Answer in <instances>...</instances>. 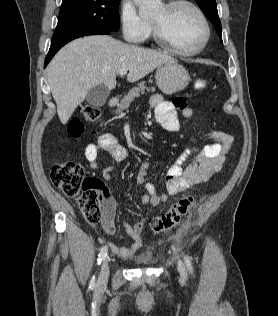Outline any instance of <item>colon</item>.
<instances>
[{
    "label": "colon",
    "mask_w": 278,
    "mask_h": 316,
    "mask_svg": "<svg viewBox=\"0 0 278 316\" xmlns=\"http://www.w3.org/2000/svg\"><path fill=\"white\" fill-rule=\"evenodd\" d=\"M206 84V80L198 79L194 83V88L203 90ZM80 113L88 122H95L100 118V111L97 108L81 107ZM67 129L71 136H80L84 130L82 120L78 117L72 118ZM49 177L52 184L65 196L78 201L80 210L89 223L97 224L101 221L104 187L99 179L85 176L83 167L73 161L54 162ZM194 203V198L190 195L180 198L167 212L150 220L151 231L154 234H160L176 227L190 212Z\"/></svg>",
    "instance_id": "1"
}]
</instances>
